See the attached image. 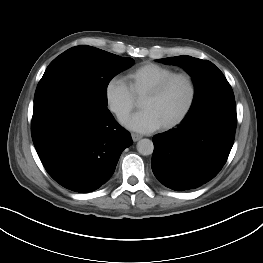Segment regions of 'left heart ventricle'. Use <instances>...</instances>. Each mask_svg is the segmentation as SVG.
<instances>
[{
    "mask_svg": "<svg viewBox=\"0 0 263 263\" xmlns=\"http://www.w3.org/2000/svg\"><path fill=\"white\" fill-rule=\"evenodd\" d=\"M188 98L189 86L184 79L178 78L173 80L160 95L142 98L140 106L142 109L151 110L163 125L181 112Z\"/></svg>",
    "mask_w": 263,
    "mask_h": 263,
    "instance_id": "b2bd125f",
    "label": "left heart ventricle"
}]
</instances>
